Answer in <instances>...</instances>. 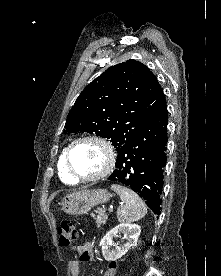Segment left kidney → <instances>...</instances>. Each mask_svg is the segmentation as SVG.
Here are the masks:
<instances>
[{"label": "left kidney", "instance_id": "1", "mask_svg": "<svg viewBox=\"0 0 221 276\" xmlns=\"http://www.w3.org/2000/svg\"><path fill=\"white\" fill-rule=\"evenodd\" d=\"M120 232L124 233L128 242L123 246H116L115 250L110 251V247L114 245L113 238L117 237ZM140 233L141 227L137 224L130 223H121L111 229L100 242L104 259L106 261H111L121 258L131 247L137 245Z\"/></svg>", "mask_w": 221, "mask_h": 276}]
</instances>
